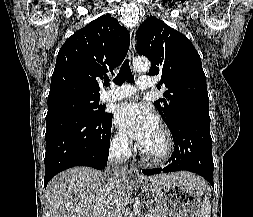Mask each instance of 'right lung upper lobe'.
<instances>
[{
  "label": "right lung upper lobe",
  "mask_w": 253,
  "mask_h": 217,
  "mask_svg": "<svg viewBox=\"0 0 253 217\" xmlns=\"http://www.w3.org/2000/svg\"><path fill=\"white\" fill-rule=\"evenodd\" d=\"M130 44L126 28L101 16L70 36L61 47L51 78L48 102L68 97H100L97 80L108 79Z\"/></svg>",
  "instance_id": "1"
}]
</instances>
